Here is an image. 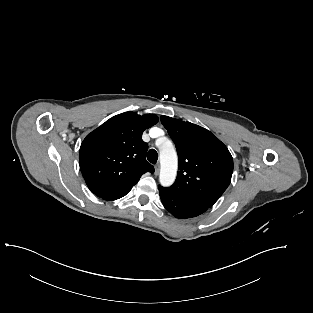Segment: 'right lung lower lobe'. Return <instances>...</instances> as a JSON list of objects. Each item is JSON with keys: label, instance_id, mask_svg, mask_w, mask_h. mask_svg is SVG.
I'll return each mask as SVG.
<instances>
[{"label": "right lung lower lobe", "instance_id": "obj_1", "mask_svg": "<svg viewBox=\"0 0 313 313\" xmlns=\"http://www.w3.org/2000/svg\"><path fill=\"white\" fill-rule=\"evenodd\" d=\"M132 189V187L126 188L124 190L106 195L104 197H102L104 200H117L123 196H125L126 194H128L130 192V190Z\"/></svg>", "mask_w": 313, "mask_h": 313}]
</instances>
